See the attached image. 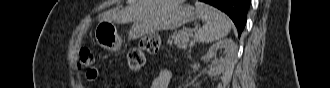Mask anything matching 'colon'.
Instances as JSON below:
<instances>
[{"label": "colon", "mask_w": 330, "mask_h": 88, "mask_svg": "<svg viewBox=\"0 0 330 88\" xmlns=\"http://www.w3.org/2000/svg\"><path fill=\"white\" fill-rule=\"evenodd\" d=\"M161 48V39L157 34H148L141 38L139 45L128 52V66L134 73H140L145 63V53L155 54ZM94 57L91 50L84 47L76 60L79 70H84L88 80L97 78V70L93 67Z\"/></svg>", "instance_id": "1"}]
</instances>
